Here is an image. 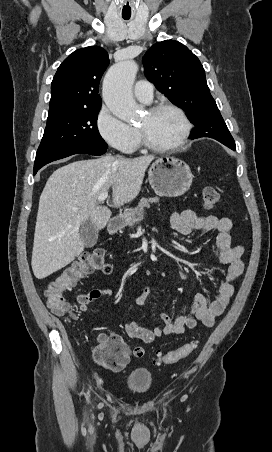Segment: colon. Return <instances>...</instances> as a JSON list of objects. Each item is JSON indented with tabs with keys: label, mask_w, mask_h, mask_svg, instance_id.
Segmentation results:
<instances>
[{
	"label": "colon",
	"mask_w": 272,
	"mask_h": 452,
	"mask_svg": "<svg viewBox=\"0 0 272 452\" xmlns=\"http://www.w3.org/2000/svg\"><path fill=\"white\" fill-rule=\"evenodd\" d=\"M222 196L214 186H206L202 191V202L205 208L211 209L221 203ZM100 270L110 273L111 264L107 261L104 253L91 252L83 254L77 260L70 263L62 270L47 286L44 296L48 308L58 316L68 315L71 312L70 305L63 298V293L78 280L87 274ZM198 341L192 340L180 348L159 355L158 364L177 363L190 356L197 348ZM132 354L140 357L145 354L143 347L135 345ZM93 359L97 365L108 370L122 369L128 359L129 351L122 339L116 336H104L98 340V345L93 353Z\"/></svg>",
	"instance_id": "1"
}]
</instances>
